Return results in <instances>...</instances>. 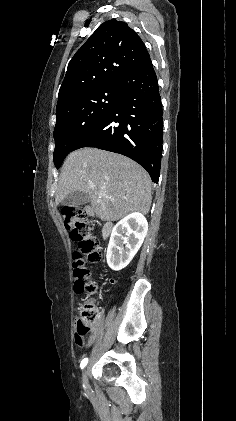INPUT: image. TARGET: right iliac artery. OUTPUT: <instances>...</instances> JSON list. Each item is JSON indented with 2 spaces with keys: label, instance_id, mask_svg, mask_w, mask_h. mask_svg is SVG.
<instances>
[{
  "label": "right iliac artery",
  "instance_id": "82829eb1",
  "mask_svg": "<svg viewBox=\"0 0 236 421\" xmlns=\"http://www.w3.org/2000/svg\"><path fill=\"white\" fill-rule=\"evenodd\" d=\"M87 363H88V358H84L81 361V364H80L81 369H83L87 365ZM83 387H84V385H83Z\"/></svg>",
  "mask_w": 236,
  "mask_h": 421
}]
</instances>
